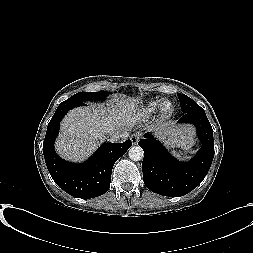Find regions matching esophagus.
Wrapping results in <instances>:
<instances>
[{"mask_svg": "<svg viewBox=\"0 0 253 253\" xmlns=\"http://www.w3.org/2000/svg\"><path fill=\"white\" fill-rule=\"evenodd\" d=\"M130 139H131L132 143L134 145H136L138 143L139 139H140V135L137 134V133L136 134H132L131 137H130Z\"/></svg>", "mask_w": 253, "mask_h": 253, "instance_id": "1", "label": "esophagus"}]
</instances>
